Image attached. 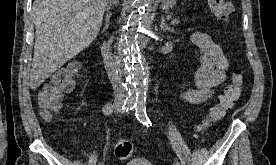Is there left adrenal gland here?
Wrapping results in <instances>:
<instances>
[{
	"mask_svg": "<svg viewBox=\"0 0 276 165\" xmlns=\"http://www.w3.org/2000/svg\"><path fill=\"white\" fill-rule=\"evenodd\" d=\"M160 29H161L163 32H166V31H170V32H172V33L174 32V29L171 28L169 25H167L166 19H165V16H164V15L161 17Z\"/></svg>",
	"mask_w": 276,
	"mask_h": 165,
	"instance_id": "1",
	"label": "left adrenal gland"
}]
</instances>
